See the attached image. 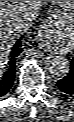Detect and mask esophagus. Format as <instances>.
Listing matches in <instances>:
<instances>
[{
    "instance_id": "1",
    "label": "esophagus",
    "mask_w": 74,
    "mask_h": 122,
    "mask_svg": "<svg viewBox=\"0 0 74 122\" xmlns=\"http://www.w3.org/2000/svg\"><path fill=\"white\" fill-rule=\"evenodd\" d=\"M48 25L47 24H43L40 32H39V46L40 47H45L46 46V40H47V36H48Z\"/></svg>"
}]
</instances>
